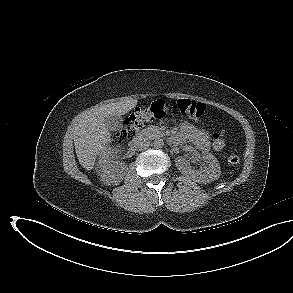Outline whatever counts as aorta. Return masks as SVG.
<instances>
[{"instance_id": "1", "label": "aorta", "mask_w": 293, "mask_h": 293, "mask_svg": "<svg viewBox=\"0 0 293 293\" xmlns=\"http://www.w3.org/2000/svg\"><path fill=\"white\" fill-rule=\"evenodd\" d=\"M153 144L155 148L159 149L164 146V141L163 139H156Z\"/></svg>"}]
</instances>
